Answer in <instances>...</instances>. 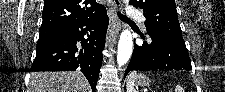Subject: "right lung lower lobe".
<instances>
[{"label": "right lung lower lobe", "mask_w": 225, "mask_h": 92, "mask_svg": "<svg viewBox=\"0 0 225 92\" xmlns=\"http://www.w3.org/2000/svg\"><path fill=\"white\" fill-rule=\"evenodd\" d=\"M108 24L104 8L96 17L66 28L62 36L38 41L30 71L78 70L85 75L95 92ZM84 35L88 38L85 39ZM78 41H81V49L76 45Z\"/></svg>", "instance_id": "1"}]
</instances>
